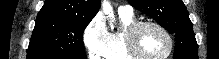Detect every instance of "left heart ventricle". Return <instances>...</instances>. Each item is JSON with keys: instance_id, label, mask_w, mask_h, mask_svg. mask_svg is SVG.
Masks as SVG:
<instances>
[{"instance_id": "1", "label": "left heart ventricle", "mask_w": 219, "mask_h": 59, "mask_svg": "<svg viewBox=\"0 0 219 59\" xmlns=\"http://www.w3.org/2000/svg\"><path fill=\"white\" fill-rule=\"evenodd\" d=\"M168 41L158 29L146 26L138 35V47L142 54L147 57H160L168 50Z\"/></svg>"}]
</instances>
